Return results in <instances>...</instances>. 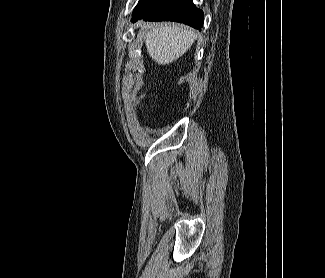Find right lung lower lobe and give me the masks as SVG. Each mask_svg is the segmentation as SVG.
Wrapping results in <instances>:
<instances>
[{"mask_svg": "<svg viewBox=\"0 0 325 278\" xmlns=\"http://www.w3.org/2000/svg\"><path fill=\"white\" fill-rule=\"evenodd\" d=\"M132 22L175 21L201 30L203 11L196 8L192 0H140L132 14Z\"/></svg>", "mask_w": 325, "mask_h": 278, "instance_id": "right-lung-lower-lobe-1", "label": "right lung lower lobe"}]
</instances>
